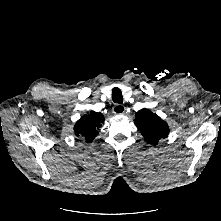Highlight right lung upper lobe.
<instances>
[{"instance_id": "cb5924a9", "label": "right lung upper lobe", "mask_w": 221, "mask_h": 221, "mask_svg": "<svg viewBox=\"0 0 221 221\" xmlns=\"http://www.w3.org/2000/svg\"><path fill=\"white\" fill-rule=\"evenodd\" d=\"M104 120L105 119L101 113L91 111L77 121L74 126L75 134L84 137L86 142H92L98 135V129L101 127Z\"/></svg>"}]
</instances>
